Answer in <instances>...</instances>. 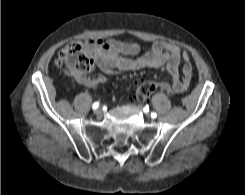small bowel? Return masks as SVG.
Wrapping results in <instances>:
<instances>
[{"mask_svg": "<svg viewBox=\"0 0 245 195\" xmlns=\"http://www.w3.org/2000/svg\"><path fill=\"white\" fill-rule=\"evenodd\" d=\"M86 46L97 67L106 75L154 68L166 71L171 76V83L160 84L161 89L168 93H182L190 85L193 71L190 57L176 45L156 41L142 54L140 45L135 42L90 40ZM181 63L182 73L179 71ZM104 81L105 76L101 74L82 80L90 88H97Z\"/></svg>", "mask_w": 245, "mask_h": 195, "instance_id": "1", "label": "small bowel"}]
</instances>
